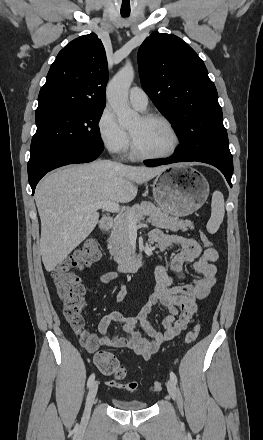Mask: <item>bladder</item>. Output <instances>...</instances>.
<instances>
[{"instance_id":"bladder-1","label":"bladder","mask_w":263,"mask_h":440,"mask_svg":"<svg viewBox=\"0 0 263 440\" xmlns=\"http://www.w3.org/2000/svg\"><path fill=\"white\" fill-rule=\"evenodd\" d=\"M113 405L120 410L139 411L147 408V403L138 399L113 398Z\"/></svg>"}]
</instances>
